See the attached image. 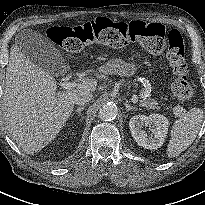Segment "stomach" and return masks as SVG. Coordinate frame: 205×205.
<instances>
[{
	"instance_id": "0dacf381",
	"label": "stomach",
	"mask_w": 205,
	"mask_h": 205,
	"mask_svg": "<svg viewBox=\"0 0 205 205\" xmlns=\"http://www.w3.org/2000/svg\"><path fill=\"white\" fill-rule=\"evenodd\" d=\"M140 65L137 63H125L122 61H111L108 67L105 68L106 73L119 74L121 76H132L139 69Z\"/></svg>"
}]
</instances>
